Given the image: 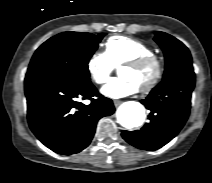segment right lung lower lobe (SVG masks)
I'll list each match as a JSON object with an SVG mask.
<instances>
[{"label":"right lung lower lobe","mask_w":212,"mask_h":183,"mask_svg":"<svg viewBox=\"0 0 212 183\" xmlns=\"http://www.w3.org/2000/svg\"><path fill=\"white\" fill-rule=\"evenodd\" d=\"M25 95L32 132L59 154L85 149L93 139L98 120L115 111L112 101L98 94L89 78L26 76ZM79 98L91 103L85 105Z\"/></svg>","instance_id":"1"}]
</instances>
